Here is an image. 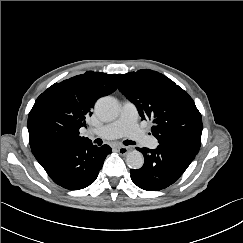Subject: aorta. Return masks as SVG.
<instances>
[{"label": "aorta", "instance_id": "1", "mask_svg": "<svg viewBox=\"0 0 243 243\" xmlns=\"http://www.w3.org/2000/svg\"><path fill=\"white\" fill-rule=\"evenodd\" d=\"M95 112L103 121L114 120L119 113L118 102L112 97H102L95 104ZM126 164L131 169H140L144 164V157L137 150L129 151L126 155Z\"/></svg>", "mask_w": 243, "mask_h": 243}]
</instances>
